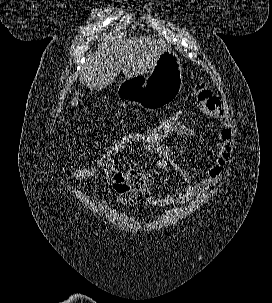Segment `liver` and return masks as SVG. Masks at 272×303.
Returning a JSON list of instances; mask_svg holds the SVG:
<instances>
[{
    "label": "liver",
    "instance_id": "1",
    "mask_svg": "<svg viewBox=\"0 0 272 303\" xmlns=\"http://www.w3.org/2000/svg\"><path fill=\"white\" fill-rule=\"evenodd\" d=\"M104 37V36H103ZM101 40L98 49L83 65L80 81L90 90H101L113 83L120 71L126 79L144 75L152 69L159 56L168 49L164 40L150 37L110 35ZM78 97L72 100L77 105Z\"/></svg>",
    "mask_w": 272,
    "mask_h": 303
}]
</instances>
